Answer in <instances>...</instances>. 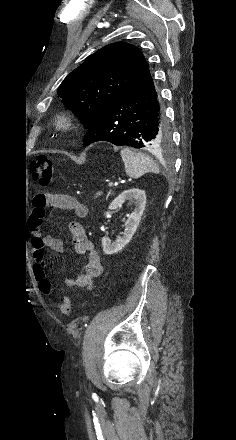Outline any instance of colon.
<instances>
[{"label": "colon", "instance_id": "5ec220e1", "mask_svg": "<svg viewBox=\"0 0 236 440\" xmlns=\"http://www.w3.org/2000/svg\"><path fill=\"white\" fill-rule=\"evenodd\" d=\"M53 175V162L47 156H39L32 165V178L40 186L49 185ZM42 293L50 296L52 288L48 280L39 286ZM58 310L64 315L71 313V301L68 297L63 296L58 300Z\"/></svg>", "mask_w": 236, "mask_h": 440}]
</instances>
